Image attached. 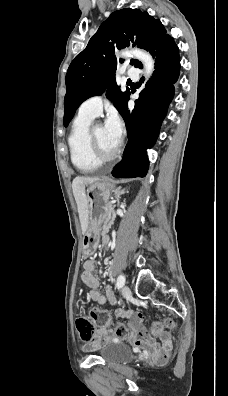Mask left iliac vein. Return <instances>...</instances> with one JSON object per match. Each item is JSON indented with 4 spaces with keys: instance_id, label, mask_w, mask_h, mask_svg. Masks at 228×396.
<instances>
[{
    "instance_id": "4c4485c4",
    "label": "left iliac vein",
    "mask_w": 228,
    "mask_h": 396,
    "mask_svg": "<svg viewBox=\"0 0 228 396\" xmlns=\"http://www.w3.org/2000/svg\"><path fill=\"white\" fill-rule=\"evenodd\" d=\"M122 294H123V296H124L125 298H128V297L131 296V290H130V288H129L127 285L123 286V288H122Z\"/></svg>"
}]
</instances>
